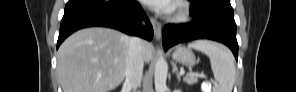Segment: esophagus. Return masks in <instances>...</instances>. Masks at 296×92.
I'll return each instance as SVG.
<instances>
[{
	"instance_id": "obj_1",
	"label": "esophagus",
	"mask_w": 296,
	"mask_h": 92,
	"mask_svg": "<svg viewBox=\"0 0 296 92\" xmlns=\"http://www.w3.org/2000/svg\"><path fill=\"white\" fill-rule=\"evenodd\" d=\"M150 21H151V24H152L153 29H154L155 38L157 40H160V38H161V30H162L161 23L158 22L153 17L150 18Z\"/></svg>"
}]
</instances>
